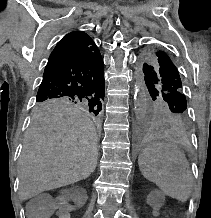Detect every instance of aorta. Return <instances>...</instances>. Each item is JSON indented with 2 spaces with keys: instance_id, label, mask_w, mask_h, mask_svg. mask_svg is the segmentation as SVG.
Masks as SVG:
<instances>
[{
  "instance_id": "762f6f07",
  "label": "aorta",
  "mask_w": 211,
  "mask_h": 218,
  "mask_svg": "<svg viewBox=\"0 0 211 218\" xmlns=\"http://www.w3.org/2000/svg\"><path fill=\"white\" fill-rule=\"evenodd\" d=\"M144 103H145L144 87L143 85H140V83L137 82L134 88V111L137 120L142 118Z\"/></svg>"
}]
</instances>
